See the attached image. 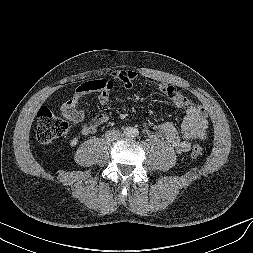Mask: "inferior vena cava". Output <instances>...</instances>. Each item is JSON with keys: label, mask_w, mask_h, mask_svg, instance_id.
<instances>
[{"label": "inferior vena cava", "mask_w": 253, "mask_h": 253, "mask_svg": "<svg viewBox=\"0 0 253 253\" xmlns=\"http://www.w3.org/2000/svg\"><path fill=\"white\" fill-rule=\"evenodd\" d=\"M123 136V134L119 130H110L105 133V137L109 141H116L120 139Z\"/></svg>", "instance_id": "obj_1"}]
</instances>
